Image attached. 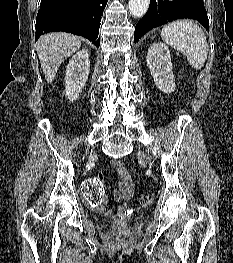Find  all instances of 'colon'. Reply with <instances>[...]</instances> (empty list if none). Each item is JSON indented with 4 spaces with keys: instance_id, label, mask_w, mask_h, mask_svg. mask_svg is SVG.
I'll use <instances>...</instances> for the list:
<instances>
[{
    "instance_id": "5ec220e1",
    "label": "colon",
    "mask_w": 233,
    "mask_h": 263,
    "mask_svg": "<svg viewBox=\"0 0 233 263\" xmlns=\"http://www.w3.org/2000/svg\"><path fill=\"white\" fill-rule=\"evenodd\" d=\"M94 178H85L83 182V187L85 190L84 198L88 199L86 207L87 208H98L103 195L102 188V176H106V171H95ZM152 198L144 194L140 197V203L143 207H147L151 204Z\"/></svg>"
}]
</instances>
